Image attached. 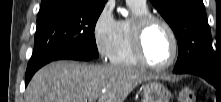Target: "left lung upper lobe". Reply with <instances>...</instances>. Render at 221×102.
Listing matches in <instances>:
<instances>
[{
    "mask_svg": "<svg viewBox=\"0 0 221 102\" xmlns=\"http://www.w3.org/2000/svg\"><path fill=\"white\" fill-rule=\"evenodd\" d=\"M177 37L178 59L174 69L202 68L216 77L221 56L212 48L210 27L202 0H150Z\"/></svg>",
    "mask_w": 221,
    "mask_h": 102,
    "instance_id": "5c2ea615",
    "label": "left lung upper lobe"
}]
</instances>
